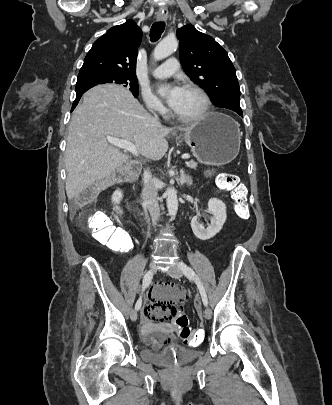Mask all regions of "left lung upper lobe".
<instances>
[{
    "label": "left lung upper lobe",
    "mask_w": 332,
    "mask_h": 405,
    "mask_svg": "<svg viewBox=\"0 0 332 405\" xmlns=\"http://www.w3.org/2000/svg\"><path fill=\"white\" fill-rule=\"evenodd\" d=\"M183 70L218 106L240 107V87L227 52L209 35L188 24L177 30Z\"/></svg>",
    "instance_id": "left-lung-upper-lobe-1"
}]
</instances>
